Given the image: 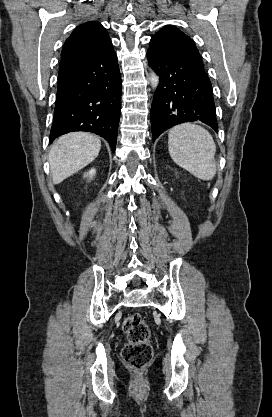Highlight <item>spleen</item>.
Segmentation results:
<instances>
[{"mask_svg":"<svg viewBox=\"0 0 272 417\" xmlns=\"http://www.w3.org/2000/svg\"><path fill=\"white\" fill-rule=\"evenodd\" d=\"M168 149L172 160L201 180H211L216 174V145L211 134L195 124L173 127L168 134Z\"/></svg>","mask_w":272,"mask_h":417,"instance_id":"1","label":"spleen"}]
</instances>
